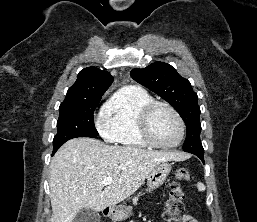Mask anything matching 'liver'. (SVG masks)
<instances>
[{
	"label": "liver",
	"instance_id": "1",
	"mask_svg": "<svg viewBox=\"0 0 257 222\" xmlns=\"http://www.w3.org/2000/svg\"><path fill=\"white\" fill-rule=\"evenodd\" d=\"M183 153L112 146L92 138L67 141L50 165L51 222H73L83 208L96 212L128 198L159 163L181 161ZM112 177L110 185L100 182Z\"/></svg>",
	"mask_w": 257,
	"mask_h": 222
}]
</instances>
